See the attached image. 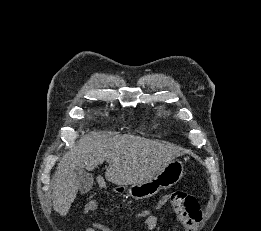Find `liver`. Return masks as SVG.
<instances>
[{"mask_svg": "<svg viewBox=\"0 0 261 231\" xmlns=\"http://www.w3.org/2000/svg\"><path fill=\"white\" fill-rule=\"evenodd\" d=\"M169 143L134 135L106 137L92 132L71 148L57 166L52 180L53 208L66 216L79 189V169L94 170L107 161L105 178L118 186L143 183L161 172L172 160L183 155Z\"/></svg>", "mask_w": 261, "mask_h": 231, "instance_id": "1", "label": "liver"}]
</instances>
